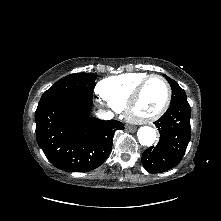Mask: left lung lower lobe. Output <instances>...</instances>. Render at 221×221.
Here are the masks:
<instances>
[{"instance_id":"left-lung-lower-lobe-1","label":"left lung lower lobe","mask_w":221,"mask_h":221,"mask_svg":"<svg viewBox=\"0 0 221 221\" xmlns=\"http://www.w3.org/2000/svg\"><path fill=\"white\" fill-rule=\"evenodd\" d=\"M191 109L188 101L175 102L157 121L160 140L142 155V164L150 173H161L175 167L183 158L191 137Z\"/></svg>"}]
</instances>
